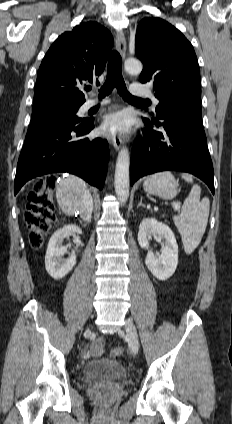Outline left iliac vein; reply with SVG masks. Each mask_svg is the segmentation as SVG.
Listing matches in <instances>:
<instances>
[{"label": "left iliac vein", "instance_id": "4c4485c4", "mask_svg": "<svg viewBox=\"0 0 232 424\" xmlns=\"http://www.w3.org/2000/svg\"><path fill=\"white\" fill-rule=\"evenodd\" d=\"M125 328H126L129 348L131 352L134 355H136L139 349L138 334H137L136 328L131 320L126 321Z\"/></svg>", "mask_w": 232, "mask_h": 424}]
</instances>
